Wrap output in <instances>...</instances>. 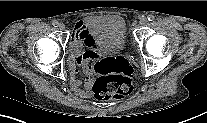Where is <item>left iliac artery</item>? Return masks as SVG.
Returning a JSON list of instances; mask_svg holds the SVG:
<instances>
[{"instance_id":"obj_1","label":"left iliac artery","mask_w":207,"mask_h":123,"mask_svg":"<svg viewBox=\"0 0 207 123\" xmlns=\"http://www.w3.org/2000/svg\"><path fill=\"white\" fill-rule=\"evenodd\" d=\"M147 19H148V21H153L154 20V16L153 15H148Z\"/></svg>"}]
</instances>
